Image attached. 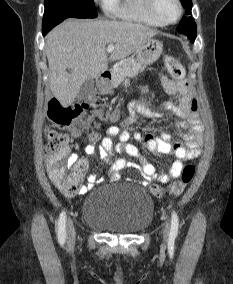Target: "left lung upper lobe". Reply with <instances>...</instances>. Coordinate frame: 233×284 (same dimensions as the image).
Returning a JSON list of instances; mask_svg holds the SVG:
<instances>
[{
    "label": "left lung upper lobe",
    "instance_id": "obj_1",
    "mask_svg": "<svg viewBox=\"0 0 233 284\" xmlns=\"http://www.w3.org/2000/svg\"><path fill=\"white\" fill-rule=\"evenodd\" d=\"M181 3L185 10V13L191 14L192 1L191 0H181ZM179 33L185 34L190 40L196 38V24L193 17H183L177 28Z\"/></svg>",
    "mask_w": 233,
    "mask_h": 284
}]
</instances>
